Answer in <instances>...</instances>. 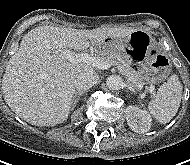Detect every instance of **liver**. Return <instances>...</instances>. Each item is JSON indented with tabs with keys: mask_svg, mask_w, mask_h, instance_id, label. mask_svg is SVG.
I'll use <instances>...</instances> for the list:
<instances>
[{
	"mask_svg": "<svg viewBox=\"0 0 190 165\" xmlns=\"http://www.w3.org/2000/svg\"><path fill=\"white\" fill-rule=\"evenodd\" d=\"M133 32L132 28L78 30L48 25L29 31L6 66L1 87L5 102L32 125L55 126L64 122L77 76L93 68L86 63H71L63 51L84 50L105 39L127 37Z\"/></svg>",
	"mask_w": 190,
	"mask_h": 165,
	"instance_id": "1",
	"label": "liver"
}]
</instances>
